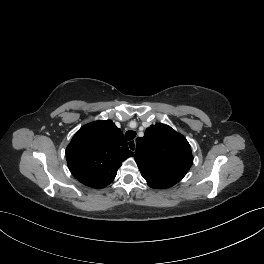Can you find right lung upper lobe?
<instances>
[{
    "mask_svg": "<svg viewBox=\"0 0 264 264\" xmlns=\"http://www.w3.org/2000/svg\"><path fill=\"white\" fill-rule=\"evenodd\" d=\"M133 156L122 131L111 120H98L81 127L66 149L68 167L86 186L104 188L122 162Z\"/></svg>",
    "mask_w": 264,
    "mask_h": 264,
    "instance_id": "obj_1",
    "label": "right lung upper lobe"
}]
</instances>
